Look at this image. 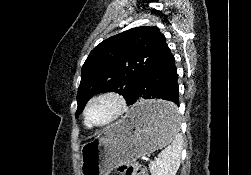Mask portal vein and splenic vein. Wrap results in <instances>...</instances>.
Wrapping results in <instances>:
<instances>
[{
  "label": "portal vein and splenic vein",
  "mask_w": 251,
  "mask_h": 175,
  "mask_svg": "<svg viewBox=\"0 0 251 175\" xmlns=\"http://www.w3.org/2000/svg\"><path fill=\"white\" fill-rule=\"evenodd\" d=\"M140 159H141L142 162H148L149 161V158L146 155H141Z\"/></svg>",
  "instance_id": "1"
}]
</instances>
